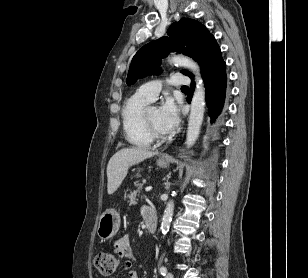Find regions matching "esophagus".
Returning a JSON list of instances; mask_svg holds the SVG:
<instances>
[{"mask_svg": "<svg viewBox=\"0 0 308 278\" xmlns=\"http://www.w3.org/2000/svg\"><path fill=\"white\" fill-rule=\"evenodd\" d=\"M162 159L169 160L170 159V155L165 153V154L162 155Z\"/></svg>", "mask_w": 308, "mask_h": 278, "instance_id": "1", "label": "esophagus"}]
</instances>
